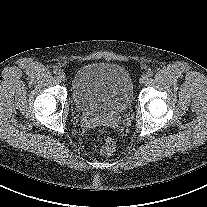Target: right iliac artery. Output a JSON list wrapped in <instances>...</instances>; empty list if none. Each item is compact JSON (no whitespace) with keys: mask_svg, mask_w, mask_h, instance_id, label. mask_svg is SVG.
I'll use <instances>...</instances> for the list:
<instances>
[{"mask_svg":"<svg viewBox=\"0 0 207 207\" xmlns=\"http://www.w3.org/2000/svg\"><path fill=\"white\" fill-rule=\"evenodd\" d=\"M53 72H54L55 74H57V73L59 72V70H58L57 68H55V69L53 70Z\"/></svg>","mask_w":207,"mask_h":207,"instance_id":"right-iliac-artery-1","label":"right iliac artery"}]
</instances>
